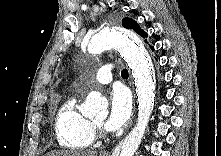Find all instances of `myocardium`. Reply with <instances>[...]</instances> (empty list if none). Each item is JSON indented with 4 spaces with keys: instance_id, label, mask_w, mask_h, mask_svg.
Masks as SVG:
<instances>
[{
    "instance_id": "f54148a6",
    "label": "myocardium",
    "mask_w": 221,
    "mask_h": 156,
    "mask_svg": "<svg viewBox=\"0 0 221 156\" xmlns=\"http://www.w3.org/2000/svg\"><path fill=\"white\" fill-rule=\"evenodd\" d=\"M94 126L99 128V127H100V124L95 123Z\"/></svg>"
}]
</instances>
